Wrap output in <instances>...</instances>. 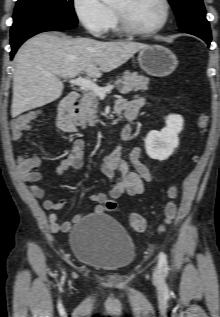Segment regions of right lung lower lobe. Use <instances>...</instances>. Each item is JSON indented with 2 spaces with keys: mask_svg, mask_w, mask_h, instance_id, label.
<instances>
[{
  "mask_svg": "<svg viewBox=\"0 0 220 317\" xmlns=\"http://www.w3.org/2000/svg\"><path fill=\"white\" fill-rule=\"evenodd\" d=\"M76 26L77 25L74 23H70L59 19H42L25 23L18 29L11 31V58H13L19 46L25 40H27L35 34L44 31H60L65 29H72Z\"/></svg>",
  "mask_w": 220,
  "mask_h": 317,
  "instance_id": "98d812e1",
  "label": "right lung lower lobe"
}]
</instances>
